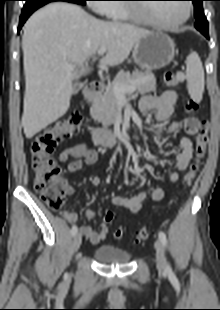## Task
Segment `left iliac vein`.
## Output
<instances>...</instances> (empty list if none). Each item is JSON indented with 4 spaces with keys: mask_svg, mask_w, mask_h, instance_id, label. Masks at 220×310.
I'll return each instance as SVG.
<instances>
[{
    "mask_svg": "<svg viewBox=\"0 0 220 310\" xmlns=\"http://www.w3.org/2000/svg\"><path fill=\"white\" fill-rule=\"evenodd\" d=\"M154 246L156 251L157 269L160 272H165L167 270V261L161 241L156 240Z\"/></svg>",
    "mask_w": 220,
    "mask_h": 310,
    "instance_id": "obj_1",
    "label": "left iliac vein"
}]
</instances>
